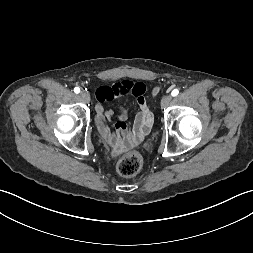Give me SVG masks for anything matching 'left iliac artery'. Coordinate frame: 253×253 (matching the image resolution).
<instances>
[{
  "instance_id": "obj_1",
  "label": "left iliac artery",
  "mask_w": 253,
  "mask_h": 253,
  "mask_svg": "<svg viewBox=\"0 0 253 253\" xmlns=\"http://www.w3.org/2000/svg\"><path fill=\"white\" fill-rule=\"evenodd\" d=\"M179 93L178 89H174L172 92H171V95L172 96H177Z\"/></svg>"
}]
</instances>
